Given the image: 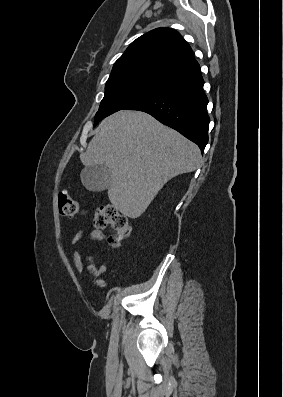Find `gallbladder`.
Segmentation results:
<instances>
[{
  "mask_svg": "<svg viewBox=\"0 0 283 397\" xmlns=\"http://www.w3.org/2000/svg\"><path fill=\"white\" fill-rule=\"evenodd\" d=\"M81 181L84 187L93 192H101L110 186L111 173L105 165L85 167L81 172Z\"/></svg>",
  "mask_w": 283,
  "mask_h": 397,
  "instance_id": "1",
  "label": "gallbladder"
}]
</instances>
